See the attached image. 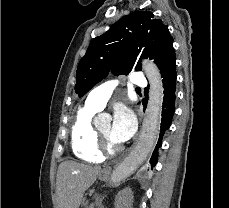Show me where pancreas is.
Here are the masks:
<instances>
[{
    "label": "pancreas",
    "mask_w": 229,
    "mask_h": 208,
    "mask_svg": "<svg viewBox=\"0 0 229 208\" xmlns=\"http://www.w3.org/2000/svg\"><path fill=\"white\" fill-rule=\"evenodd\" d=\"M89 208H94V204H91V206H89Z\"/></svg>",
    "instance_id": "cf45deb5"
}]
</instances>
